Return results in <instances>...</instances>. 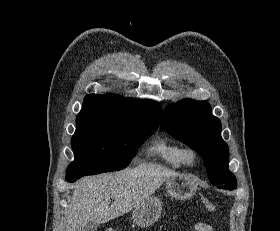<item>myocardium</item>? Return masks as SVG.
Segmentation results:
<instances>
[{
    "label": "myocardium",
    "mask_w": 280,
    "mask_h": 231,
    "mask_svg": "<svg viewBox=\"0 0 280 231\" xmlns=\"http://www.w3.org/2000/svg\"><path fill=\"white\" fill-rule=\"evenodd\" d=\"M190 156L194 157V159H195L194 163L190 162V160H189ZM181 159H182L184 166H186L188 168H194L200 162V153H199L198 149L193 146H185L182 149Z\"/></svg>",
    "instance_id": "f54148a6"
}]
</instances>
